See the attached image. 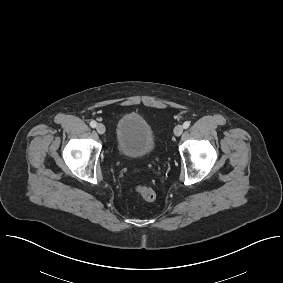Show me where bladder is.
I'll use <instances>...</instances> for the list:
<instances>
[{"label": "bladder", "mask_w": 283, "mask_h": 283, "mask_svg": "<svg viewBox=\"0 0 283 283\" xmlns=\"http://www.w3.org/2000/svg\"><path fill=\"white\" fill-rule=\"evenodd\" d=\"M155 148V134L143 116L128 113L119 119L115 132V150L120 158H141L153 153Z\"/></svg>", "instance_id": "1"}]
</instances>
